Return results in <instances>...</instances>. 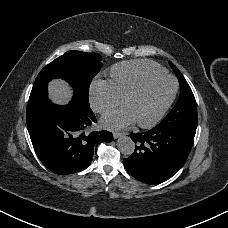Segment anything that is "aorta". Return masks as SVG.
<instances>
[{
	"instance_id": "762f6f07",
	"label": "aorta",
	"mask_w": 228,
	"mask_h": 228,
	"mask_svg": "<svg viewBox=\"0 0 228 228\" xmlns=\"http://www.w3.org/2000/svg\"><path fill=\"white\" fill-rule=\"evenodd\" d=\"M118 150L125 156H130L135 150V143L128 137H120L117 141Z\"/></svg>"
}]
</instances>
